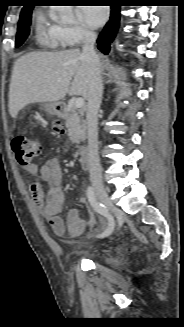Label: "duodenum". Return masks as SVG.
<instances>
[{"label":"duodenum","instance_id":"410a0bca","mask_svg":"<svg viewBox=\"0 0 184 327\" xmlns=\"http://www.w3.org/2000/svg\"><path fill=\"white\" fill-rule=\"evenodd\" d=\"M56 113L61 117H66L69 113L68 108L64 104H57L55 107ZM79 153L82 158V163L84 166H88L89 160H88V149L85 144H82L79 146Z\"/></svg>","mask_w":184,"mask_h":327}]
</instances>
